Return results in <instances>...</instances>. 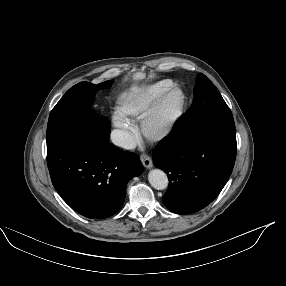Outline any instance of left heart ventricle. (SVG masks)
<instances>
[{"instance_id": "obj_1", "label": "left heart ventricle", "mask_w": 286, "mask_h": 286, "mask_svg": "<svg viewBox=\"0 0 286 286\" xmlns=\"http://www.w3.org/2000/svg\"><path fill=\"white\" fill-rule=\"evenodd\" d=\"M179 102V93L175 92L171 94L167 100L164 102L158 117H157V124L164 122L176 109Z\"/></svg>"}]
</instances>
